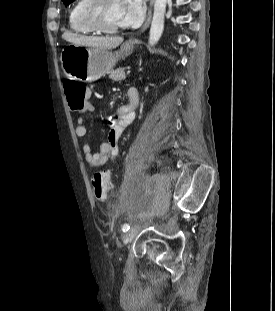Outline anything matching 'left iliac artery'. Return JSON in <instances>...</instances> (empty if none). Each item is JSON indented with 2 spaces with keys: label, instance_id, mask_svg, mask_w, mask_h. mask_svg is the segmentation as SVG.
<instances>
[{
  "label": "left iliac artery",
  "instance_id": "left-iliac-artery-1",
  "mask_svg": "<svg viewBox=\"0 0 275 311\" xmlns=\"http://www.w3.org/2000/svg\"><path fill=\"white\" fill-rule=\"evenodd\" d=\"M130 229V226H129V224H127V223H125L123 226H122V231L123 232H126V231H128Z\"/></svg>",
  "mask_w": 275,
  "mask_h": 311
}]
</instances>
